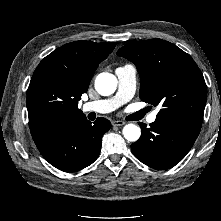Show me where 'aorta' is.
<instances>
[{"instance_id":"obj_1","label":"aorta","mask_w":221,"mask_h":221,"mask_svg":"<svg viewBox=\"0 0 221 221\" xmlns=\"http://www.w3.org/2000/svg\"><path fill=\"white\" fill-rule=\"evenodd\" d=\"M117 79L113 74L100 73L95 79V89L102 96H108L115 92ZM123 136L130 142L137 141L141 136V129L135 124H127L123 128Z\"/></svg>"}]
</instances>
